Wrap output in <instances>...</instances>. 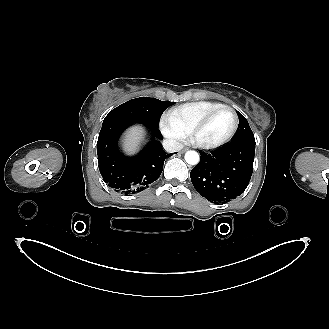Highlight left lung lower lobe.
Masks as SVG:
<instances>
[{"label": "left lung lower lobe", "instance_id": "0a47b994", "mask_svg": "<svg viewBox=\"0 0 329 329\" xmlns=\"http://www.w3.org/2000/svg\"><path fill=\"white\" fill-rule=\"evenodd\" d=\"M200 154V162L191 170L190 177L201 196L224 203L245 191L253 171L255 142H230Z\"/></svg>", "mask_w": 329, "mask_h": 329}]
</instances>
